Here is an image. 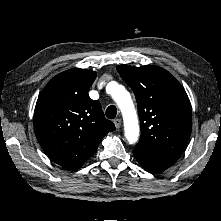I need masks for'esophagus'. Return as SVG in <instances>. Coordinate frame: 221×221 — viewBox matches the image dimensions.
Wrapping results in <instances>:
<instances>
[{
	"instance_id": "obj_1",
	"label": "esophagus",
	"mask_w": 221,
	"mask_h": 221,
	"mask_svg": "<svg viewBox=\"0 0 221 221\" xmlns=\"http://www.w3.org/2000/svg\"><path fill=\"white\" fill-rule=\"evenodd\" d=\"M114 124L116 129H119L121 127V119H115Z\"/></svg>"
}]
</instances>
